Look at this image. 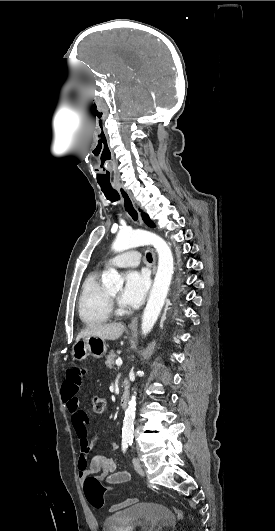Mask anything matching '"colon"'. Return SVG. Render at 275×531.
Here are the masks:
<instances>
[{"label":"colon","instance_id":"5ec220e1","mask_svg":"<svg viewBox=\"0 0 275 531\" xmlns=\"http://www.w3.org/2000/svg\"><path fill=\"white\" fill-rule=\"evenodd\" d=\"M68 372V370H67ZM86 400H91V406L96 414H102L105 411L106 403L105 400L98 396H93L91 393L85 394ZM85 486L83 494L86 497L87 501L91 503L93 509L102 511L104 509L103 503L101 501L103 492L109 490V485L103 482H96V477L94 475H87L85 477ZM174 514L176 517L181 518L183 516L182 511L178 508H174Z\"/></svg>","mask_w":275,"mask_h":531}]
</instances>
